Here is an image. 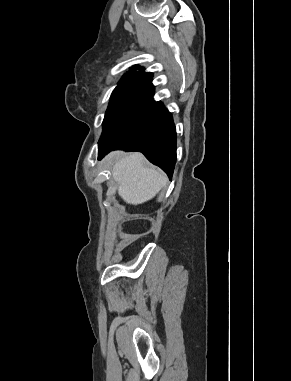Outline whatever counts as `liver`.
<instances>
[{"mask_svg":"<svg viewBox=\"0 0 291 381\" xmlns=\"http://www.w3.org/2000/svg\"><path fill=\"white\" fill-rule=\"evenodd\" d=\"M108 159L114 161L113 178L118 184V194L128 204H142L166 185L167 177L145 166V158L141 153L123 155L114 152Z\"/></svg>","mask_w":291,"mask_h":381,"instance_id":"6515ba94","label":"liver"}]
</instances>
